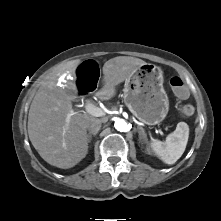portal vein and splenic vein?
Returning a JSON list of instances; mask_svg holds the SVG:
<instances>
[{
	"label": "portal vein and splenic vein",
	"instance_id": "18ae733b",
	"mask_svg": "<svg viewBox=\"0 0 221 221\" xmlns=\"http://www.w3.org/2000/svg\"><path fill=\"white\" fill-rule=\"evenodd\" d=\"M85 110L88 114L94 116V117H102L105 115V111L99 107H96L92 103L88 102L85 104ZM74 112L71 111V113L68 115V119L71 115H73Z\"/></svg>",
	"mask_w": 221,
	"mask_h": 221
}]
</instances>
